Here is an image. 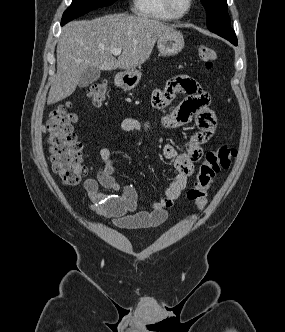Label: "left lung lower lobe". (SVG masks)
Listing matches in <instances>:
<instances>
[{
    "instance_id": "0a47b994",
    "label": "left lung lower lobe",
    "mask_w": 285,
    "mask_h": 332,
    "mask_svg": "<svg viewBox=\"0 0 285 332\" xmlns=\"http://www.w3.org/2000/svg\"><path fill=\"white\" fill-rule=\"evenodd\" d=\"M224 38L229 40L232 44L237 45V38H227V37H224Z\"/></svg>"
}]
</instances>
